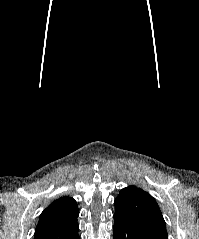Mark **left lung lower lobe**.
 <instances>
[{
    "label": "left lung lower lobe",
    "mask_w": 199,
    "mask_h": 239,
    "mask_svg": "<svg viewBox=\"0 0 199 239\" xmlns=\"http://www.w3.org/2000/svg\"><path fill=\"white\" fill-rule=\"evenodd\" d=\"M113 239H158L131 219L114 214Z\"/></svg>",
    "instance_id": "obj_1"
}]
</instances>
